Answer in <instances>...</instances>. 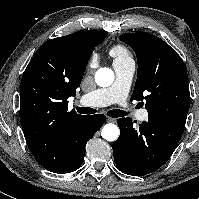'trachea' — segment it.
<instances>
[{
	"label": "trachea",
	"mask_w": 199,
	"mask_h": 199,
	"mask_svg": "<svg viewBox=\"0 0 199 199\" xmlns=\"http://www.w3.org/2000/svg\"><path fill=\"white\" fill-rule=\"evenodd\" d=\"M76 110L81 114H95L96 110L90 107H76ZM107 114L112 118L125 116L127 113L123 110H110Z\"/></svg>",
	"instance_id": "3493384b"
}]
</instances>
